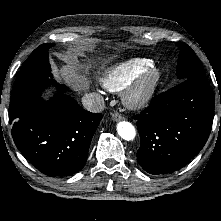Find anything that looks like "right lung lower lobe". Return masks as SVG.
I'll list each match as a JSON object with an SVG mask.
<instances>
[{
  "label": "right lung lower lobe",
  "mask_w": 221,
  "mask_h": 221,
  "mask_svg": "<svg viewBox=\"0 0 221 221\" xmlns=\"http://www.w3.org/2000/svg\"><path fill=\"white\" fill-rule=\"evenodd\" d=\"M48 84L55 82L44 78L12 92V137L18 150L42 173L72 175L84 167L102 115L84 110L64 93L66 86L59 85L57 95L43 101L40 93Z\"/></svg>",
  "instance_id": "1"
}]
</instances>
